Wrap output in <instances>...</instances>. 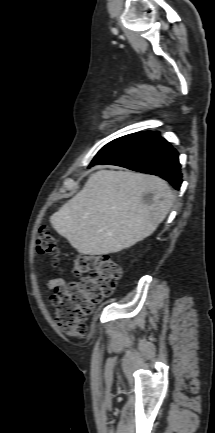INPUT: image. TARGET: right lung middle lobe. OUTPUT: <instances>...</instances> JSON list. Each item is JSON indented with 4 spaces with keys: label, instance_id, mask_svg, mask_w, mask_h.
<instances>
[{
    "label": "right lung middle lobe",
    "instance_id": "right-lung-middle-lobe-1",
    "mask_svg": "<svg viewBox=\"0 0 215 433\" xmlns=\"http://www.w3.org/2000/svg\"><path fill=\"white\" fill-rule=\"evenodd\" d=\"M133 133L129 134L123 137H120L118 139H115L105 145L94 157L89 167H92L93 165H96L100 162L105 161L106 159L110 158L114 154L118 153L120 150H122L124 147H126L129 143H131L139 134Z\"/></svg>",
    "mask_w": 215,
    "mask_h": 433
}]
</instances>
